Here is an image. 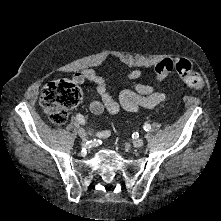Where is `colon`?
<instances>
[{"instance_id": "obj_1", "label": "colon", "mask_w": 221, "mask_h": 221, "mask_svg": "<svg viewBox=\"0 0 221 221\" xmlns=\"http://www.w3.org/2000/svg\"><path fill=\"white\" fill-rule=\"evenodd\" d=\"M154 70L159 81L176 72L192 88L200 89L204 83L201 75L194 70L193 64L185 58L164 59ZM82 98L83 92L79 86L68 80H58L43 88L40 104L52 123L62 125L68 119L69 110L77 106Z\"/></svg>"}]
</instances>
